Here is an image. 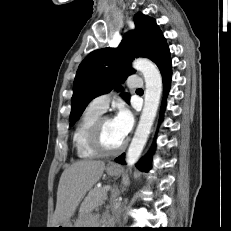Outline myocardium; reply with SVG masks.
Segmentation results:
<instances>
[{
    "instance_id": "obj_1",
    "label": "myocardium",
    "mask_w": 231,
    "mask_h": 231,
    "mask_svg": "<svg viewBox=\"0 0 231 231\" xmlns=\"http://www.w3.org/2000/svg\"><path fill=\"white\" fill-rule=\"evenodd\" d=\"M110 119L107 116H100L93 124L89 133V143L90 146L100 155H114L125 149L127 145V140H124L116 148H107L102 141V127L105 120Z\"/></svg>"
}]
</instances>
